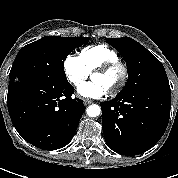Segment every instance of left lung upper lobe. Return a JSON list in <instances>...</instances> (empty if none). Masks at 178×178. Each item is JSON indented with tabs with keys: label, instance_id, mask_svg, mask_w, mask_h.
Returning <instances> with one entry per match:
<instances>
[{
	"label": "left lung upper lobe",
	"instance_id": "obj_1",
	"mask_svg": "<svg viewBox=\"0 0 178 178\" xmlns=\"http://www.w3.org/2000/svg\"><path fill=\"white\" fill-rule=\"evenodd\" d=\"M127 64L128 80L120 93L141 88L171 91L162 63L144 46L129 37L107 38Z\"/></svg>",
	"mask_w": 178,
	"mask_h": 178
}]
</instances>
